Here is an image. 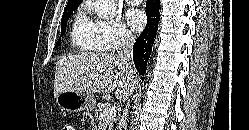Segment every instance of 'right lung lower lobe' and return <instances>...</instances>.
I'll use <instances>...</instances> for the list:
<instances>
[{"label":"right lung lower lobe","mask_w":249,"mask_h":130,"mask_svg":"<svg viewBox=\"0 0 249 130\" xmlns=\"http://www.w3.org/2000/svg\"><path fill=\"white\" fill-rule=\"evenodd\" d=\"M159 2V0H147V25L133 46V60L136 69L141 75H144L146 72L147 61L152 50L155 34L158 30V22L160 18Z\"/></svg>","instance_id":"98d812e1"}]
</instances>
